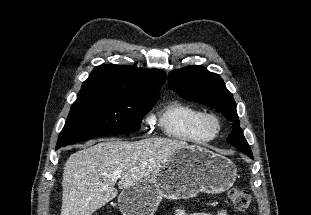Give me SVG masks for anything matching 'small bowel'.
Here are the masks:
<instances>
[{
	"instance_id": "c3829d8e",
	"label": "small bowel",
	"mask_w": 311,
	"mask_h": 215,
	"mask_svg": "<svg viewBox=\"0 0 311 215\" xmlns=\"http://www.w3.org/2000/svg\"><path fill=\"white\" fill-rule=\"evenodd\" d=\"M175 215H212V214L209 212H206L204 210H197V211L192 212V213H187L183 209H177L175 212ZM217 215H228V212L225 209H220L217 212Z\"/></svg>"
}]
</instances>
